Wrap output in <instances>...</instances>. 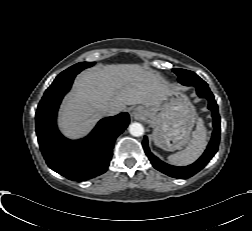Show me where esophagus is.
I'll return each instance as SVG.
<instances>
[{"label":"esophagus","instance_id":"obj_1","mask_svg":"<svg viewBox=\"0 0 252 231\" xmlns=\"http://www.w3.org/2000/svg\"><path fill=\"white\" fill-rule=\"evenodd\" d=\"M131 116L133 118H139L141 116V112L137 111V110H134L132 113H131Z\"/></svg>","mask_w":252,"mask_h":231}]
</instances>
